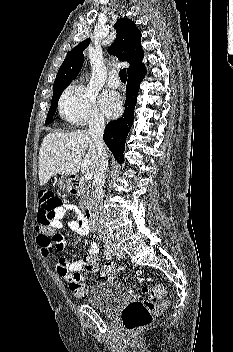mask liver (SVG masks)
<instances>
[{
  "instance_id": "1",
  "label": "liver",
  "mask_w": 233,
  "mask_h": 352,
  "mask_svg": "<svg viewBox=\"0 0 233 352\" xmlns=\"http://www.w3.org/2000/svg\"><path fill=\"white\" fill-rule=\"evenodd\" d=\"M97 148L89 132L49 133L41 144L38 158L40 185L56 175H75L81 171L95 172Z\"/></svg>"
}]
</instances>
